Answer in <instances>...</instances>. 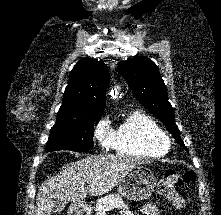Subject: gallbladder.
Returning a JSON list of instances; mask_svg holds the SVG:
<instances>
[{
  "instance_id": "obj_1",
  "label": "gallbladder",
  "mask_w": 221,
  "mask_h": 215,
  "mask_svg": "<svg viewBox=\"0 0 221 215\" xmlns=\"http://www.w3.org/2000/svg\"><path fill=\"white\" fill-rule=\"evenodd\" d=\"M66 202L57 201L54 205L53 212L58 213L64 210Z\"/></svg>"
}]
</instances>
